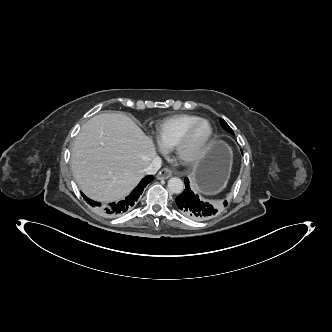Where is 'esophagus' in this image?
Returning <instances> with one entry per match:
<instances>
[{"mask_svg":"<svg viewBox=\"0 0 332 332\" xmlns=\"http://www.w3.org/2000/svg\"><path fill=\"white\" fill-rule=\"evenodd\" d=\"M172 176V171L168 168H163L158 174H157V179L158 180H163V179H168Z\"/></svg>","mask_w":332,"mask_h":332,"instance_id":"obj_1","label":"esophagus"}]
</instances>
